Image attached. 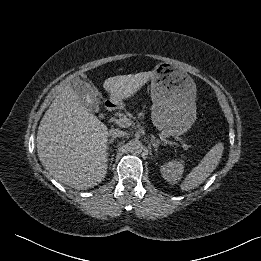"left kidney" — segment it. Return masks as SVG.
<instances>
[{
  "label": "left kidney",
  "instance_id": "5707ae66",
  "mask_svg": "<svg viewBox=\"0 0 261 261\" xmlns=\"http://www.w3.org/2000/svg\"><path fill=\"white\" fill-rule=\"evenodd\" d=\"M183 169V161L174 160L161 166L160 170L163 178L170 184L174 185L177 184L179 180H181Z\"/></svg>",
  "mask_w": 261,
  "mask_h": 261
}]
</instances>
